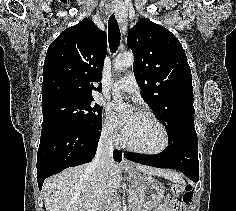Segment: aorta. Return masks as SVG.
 <instances>
[{"label": "aorta", "mask_w": 236, "mask_h": 211, "mask_svg": "<svg viewBox=\"0 0 236 211\" xmlns=\"http://www.w3.org/2000/svg\"><path fill=\"white\" fill-rule=\"evenodd\" d=\"M134 62V56L132 53H122L119 54L114 61V67L118 71H122L124 69H127L133 65ZM114 98L117 102V110L123 111L127 108V105H125L122 102V95L119 92H116L114 95Z\"/></svg>", "instance_id": "1"}]
</instances>
